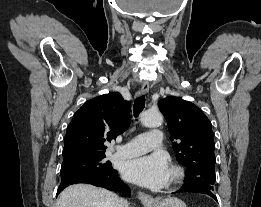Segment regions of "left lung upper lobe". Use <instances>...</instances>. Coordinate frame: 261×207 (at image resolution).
Wrapping results in <instances>:
<instances>
[{"instance_id": "1", "label": "left lung upper lobe", "mask_w": 261, "mask_h": 207, "mask_svg": "<svg viewBox=\"0 0 261 207\" xmlns=\"http://www.w3.org/2000/svg\"><path fill=\"white\" fill-rule=\"evenodd\" d=\"M167 120L176 158L186 167L184 183L205 184L216 181L214 134L211 122L200 108L189 101L169 96L158 103Z\"/></svg>"}]
</instances>
